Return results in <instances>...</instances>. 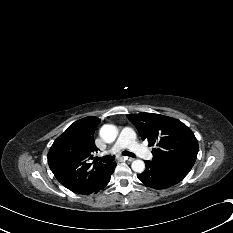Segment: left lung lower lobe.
<instances>
[{
  "mask_svg": "<svg viewBox=\"0 0 233 233\" xmlns=\"http://www.w3.org/2000/svg\"><path fill=\"white\" fill-rule=\"evenodd\" d=\"M146 169L137 177L145 185L154 189H165L171 187L183 178L154 164L152 161H146Z\"/></svg>",
  "mask_w": 233,
  "mask_h": 233,
  "instance_id": "left-lung-lower-lobe-1",
  "label": "left lung lower lobe"
}]
</instances>
